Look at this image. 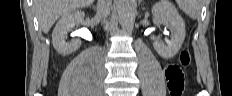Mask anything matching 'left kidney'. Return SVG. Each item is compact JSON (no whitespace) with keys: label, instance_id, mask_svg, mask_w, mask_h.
Returning a JSON list of instances; mask_svg holds the SVG:
<instances>
[{"label":"left kidney","instance_id":"left-kidney-1","mask_svg":"<svg viewBox=\"0 0 232 96\" xmlns=\"http://www.w3.org/2000/svg\"><path fill=\"white\" fill-rule=\"evenodd\" d=\"M152 13L157 22H169L171 24L172 38L165 43L154 37L153 46L156 52L165 59L174 57L180 50L185 39V22L177 9L169 1L161 0L152 8Z\"/></svg>","mask_w":232,"mask_h":96}]
</instances>
